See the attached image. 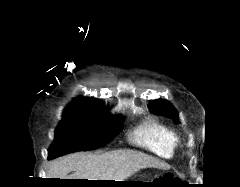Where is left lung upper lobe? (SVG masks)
Listing matches in <instances>:
<instances>
[{
  "mask_svg": "<svg viewBox=\"0 0 240 187\" xmlns=\"http://www.w3.org/2000/svg\"><path fill=\"white\" fill-rule=\"evenodd\" d=\"M149 109L153 113L165 115L172 118L175 123H179L177 111L165 101L153 100L149 104Z\"/></svg>",
  "mask_w": 240,
  "mask_h": 187,
  "instance_id": "5c2ea615",
  "label": "left lung upper lobe"
}]
</instances>
